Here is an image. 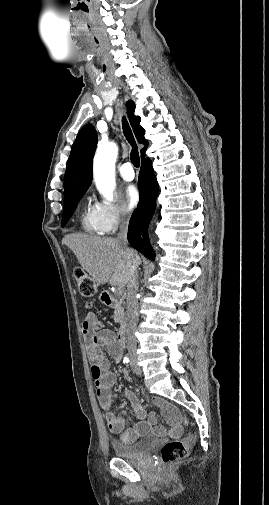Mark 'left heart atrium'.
I'll use <instances>...</instances> for the list:
<instances>
[{
  "instance_id": "1",
  "label": "left heart atrium",
  "mask_w": 269,
  "mask_h": 505,
  "mask_svg": "<svg viewBox=\"0 0 269 505\" xmlns=\"http://www.w3.org/2000/svg\"><path fill=\"white\" fill-rule=\"evenodd\" d=\"M124 198L128 208H134L139 202V191L136 186L128 185L124 191Z\"/></svg>"
}]
</instances>
